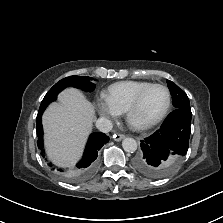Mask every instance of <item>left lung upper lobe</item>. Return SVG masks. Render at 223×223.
<instances>
[{
    "instance_id": "1",
    "label": "left lung upper lobe",
    "mask_w": 223,
    "mask_h": 223,
    "mask_svg": "<svg viewBox=\"0 0 223 223\" xmlns=\"http://www.w3.org/2000/svg\"><path fill=\"white\" fill-rule=\"evenodd\" d=\"M167 84L172 95V104L174 108L191 111L189 98L185 92L170 80H167Z\"/></svg>"
}]
</instances>
